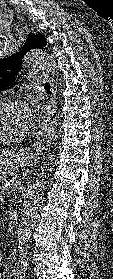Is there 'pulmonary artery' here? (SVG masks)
I'll list each match as a JSON object with an SVG mask.
<instances>
[{
	"mask_svg": "<svg viewBox=\"0 0 113 279\" xmlns=\"http://www.w3.org/2000/svg\"><path fill=\"white\" fill-rule=\"evenodd\" d=\"M31 84L44 83L47 80V76L42 73L35 72L31 76Z\"/></svg>",
	"mask_w": 113,
	"mask_h": 279,
	"instance_id": "e3ab8cb5",
	"label": "pulmonary artery"
}]
</instances>
